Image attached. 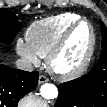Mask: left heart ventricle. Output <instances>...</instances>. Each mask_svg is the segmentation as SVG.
Here are the masks:
<instances>
[{
    "instance_id": "b2bd125f",
    "label": "left heart ventricle",
    "mask_w": 107,
    "mask_h": 107,
    "mask_svg": "<svg viewBox=\"0 0 107 107\" xmlns=\"http://www.w3.org/2000/svg\"><path fill=\"white\" fill-rule=\"evenodd\" d=\"M90 29L86 24L80 25L72 34L64 51L55 60L59 71H68L77 66L84 57L90 43Z\"/></svg>"
}]
</instances>
